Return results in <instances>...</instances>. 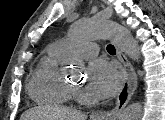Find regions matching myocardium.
Returning a JSON list of instances; mask_svg holds the SVG:
<instances>
[{"instance_id": "obj_1", "label": "myocardium", "mask_w": 165, "mask_h": 120, "mask_svg": "<svg viewBox=\"0 0 165 120\" xmlns=\"http://www.w3.org/2000/svg\"><path fill=\"white\" fill-rule=\"evenodd\" d=\"M72 88H73V90H74V91H76V90H78V89H79V87H78V86H72Z\"/></svg>"}]
</instances>
